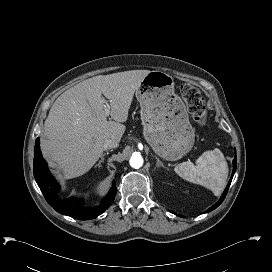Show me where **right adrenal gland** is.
I'll return each instance as SVG.
<instances>
[{"mask_svg":"<svg viewBox=\"0 0 272 272\" xmlns=\"http://www.w3.org/2000/svg\"><path fill=\"white\" fill-rule=\"evenodd\" d=\"M106 154H109V152L102 154V156H101V159H100L99 163H98V164H96V167H97V166H98V167H101V163L104 161V156H105Z\"/></svg>","mask_w":272,"mask_h":272,"instance_id":"1","label":"right adrenal gland"}]
</instances>
